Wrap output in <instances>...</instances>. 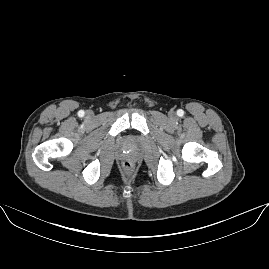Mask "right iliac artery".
Here are the masks:
<instances>
[{
  "instance_id": "obj_1",
  "label": "right iliac artery",
  "mask_w": 269,
  "mask_h": 269,
  "mask_svg": "<svg viewBox=\"0 0 269 269\" xmlns=\"http://www.w3.org/2000/svg\"><path fill=\"white\" fill-rule=\"evenodd\" d=\"M78 115H79L80 117H83V116H84V111H83V110H80V111L78 112Z\"/></svg>"
}]
</instances>
